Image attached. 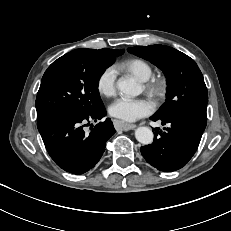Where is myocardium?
Masks as SVG:
<instances>
[{"label":"myocardium","mask_w":231,"mask_h":231,"mask_svg":"<svg viewBox=\"0 0 231 231\" xmlns=\"http://www.w3.org/2000/svg\"><path fill=\"white\" fill-rule=\"evenodd\" d=\"M169 80L165 75H159L151 78L146 84V91L156 100H162L168 91Z\"/></svg>","instance_id":"f54148a6"}]
</instances>
